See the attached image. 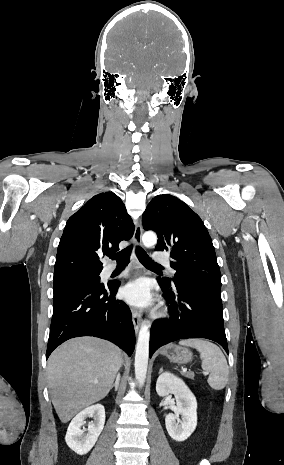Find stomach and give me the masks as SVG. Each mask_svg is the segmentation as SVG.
<instances>
[{
	"mask_svg": "<svg viewBox=\"0 0 284 465\" xmlns=\"http://www.w3.org/2000/svg\"><path fill=\"white\" fill-rule=\"evenodd\" d=\"M162 355H165L171 363H179V365H186L192 359L190 349L178 347V345H167V347H164Z\"/></svg>",
	"mask_w": 284,
	"mask_h": 465,
	"instance_id": "1",
	"label": "stomach"
}]
</instances>
